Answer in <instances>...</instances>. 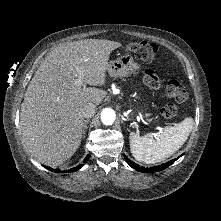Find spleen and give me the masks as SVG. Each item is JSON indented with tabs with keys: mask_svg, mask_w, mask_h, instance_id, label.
<instances>
[{
	"mask_svg": "<svg viewBox=\"0 0 221 221\" xmlns=\"http://www.w3.org/2000/svg\"><path fill=\"white\" fill-rule=\"evenodd\" d=\"M193 118L188 117L175 126H167L159 133L140 136L130 133V150L133 157L146 164H154L173 155L185 143L193 129Z\"/></svg>",
	"mask_w": 221,
	"mask_h": 221,
	"instance_id": "spleen-1",
	"label": "spleen"
}]
</instances>
